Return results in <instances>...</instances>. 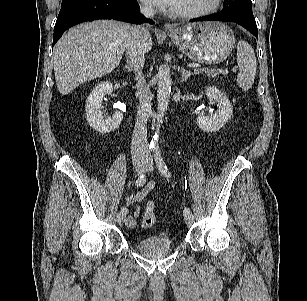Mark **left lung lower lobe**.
I'll return each instance as SVG.
<instances>
[{
    "mask_svg": "<svg viewBox=\"0 0 307 301\" xmlns=\"http://www.w3.org/2000/svg\"><path fill=\"white\" fill-rule=\"evenodd\" d=\"M193 21H232L236 22L248 29L256 38H258V30L255 18L250 13H217L207 17L196 18Z\"/></svg>",
    "mask_w": 307,
    "mask_h": 301,
    "instance_id": "0a47b994",
    "label": "left lung lower lobe"
}]
</instances>
